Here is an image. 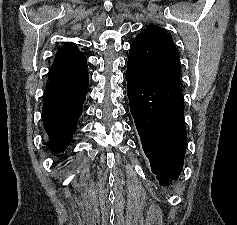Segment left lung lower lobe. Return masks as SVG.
I'll return each instance as SVG.
<instances>
[{"instance_id": "obj_1", "label": "left lung lower lobe", "mask_w": 237, "mask_h": 225, "mask_svg": "<svg viewBox=\"0 0 237 225\" xmlns=\"http://www.w3.org/2000/svg\"><path fill=\"white\" fill-rule=\"evenodd\" d=\"M125 78L130 111L143 150L159 184L168 186L182 170L187 146L180 87H153L129 71Z\"/></svg>"}]
</instances>
